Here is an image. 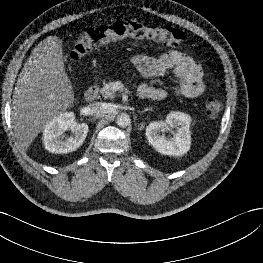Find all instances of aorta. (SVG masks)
<instances>
[{"label":"aorta","mask_w":263,"mask_h":263,"mask_svg":"<svg viewBox=\"0 0 263 263\" xmlns=\"http://www.w3.org/2000/svg\"><path fill=\"white\" fill-rule=\"evenodd\" d=\"M131 119H130V116L126 113H121L118 117H117V125L119 127H122V128H125L127 127L128 125H130V122Z\"/></svg>","instance_id":"obj_1"}]
</instances>
